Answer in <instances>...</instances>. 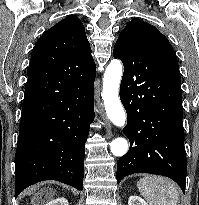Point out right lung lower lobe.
Wrapping results in <instances>:
<instances>
[{
    "label": "right lung lower lobe",
    "mask_w": 199,
    "mask_h": 205,
    "mask_svg": "<svg viewBox=\"0 0 199 205\" xmlns=\"http://www.w3.org/2000/svg\"><path fill=\"white\" fill-rule=\"evenodd\" d=\"M95 76L75 81L64 95L21 115L15 197L44 180H57L82 190L85 142L94 119ZM43 88V83L27 84L25 94Z\"/></svg>",
    "instance_id": "1"
}]
</instances>
